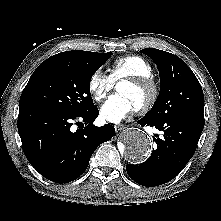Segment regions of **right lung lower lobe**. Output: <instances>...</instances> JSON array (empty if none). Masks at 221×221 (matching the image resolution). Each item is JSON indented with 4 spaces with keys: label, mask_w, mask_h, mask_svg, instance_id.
I'll return each instance as SVG.
<instances>
[{
    "label": "right lung lower lobe",
    "mask_w": 221,
    "mask_h": 221,
    "mask_svg": "<svg viewBox=\"0 0 221 221\" xmlns=\"http://www.w3.org/2000/svg\"><path fill=\"white\" fill-rule=\"evenodd\" d=\"M99 115L97 107L81 115H70L42 107H20L18 131L24 154L45 178L67 183L78 178L88 167L98 145L109 141L114 127L93 125ZM84 128L72 131L73 121ZM84 122V123H82Z\"/></svg>",
    "instance_id": "98d812e1"
}]
</instances>
